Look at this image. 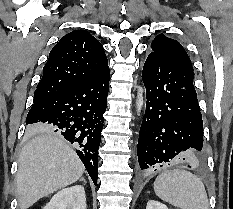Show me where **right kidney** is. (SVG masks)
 I'll return each mask as SVG.
<instances>
[{"label": "right kidney", "instance_id": "right-kidney-1", "mask_svg": "<svg viewBox=\"0 0 233 209\" xmlns=\"http://www.w3.org/2000/svg\"><path fill=\"white\" fill-rule=\"evenodd\" d=\"M43 209H87L84 187L75 185L60 190Z\"/></svg>", "mask_w": 233, "mask_h": 209}]
</instances>
